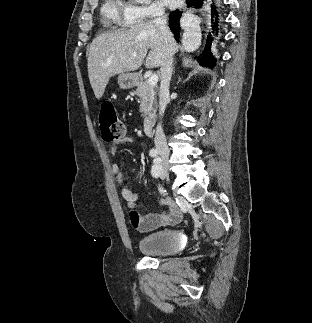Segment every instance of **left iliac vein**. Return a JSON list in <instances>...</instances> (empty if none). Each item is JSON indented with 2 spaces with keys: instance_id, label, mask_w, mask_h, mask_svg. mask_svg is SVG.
<instances>
[{
  "instance_id": "4c4485c4",
  "label": "left iliac vein",
  "mask_w": 312,
  "mask_h": 323,
  "mask_svg": "<svg viewBox=\"0 0 312 323\" xmlns=\"http://www.w3.org/2000/svg\"><path fill=\"white\" fill-rule=\"evenodd\" d=\"M159 175H160L161 177H163L161 173H160Z\"/></svg>"
}]
</instances>
